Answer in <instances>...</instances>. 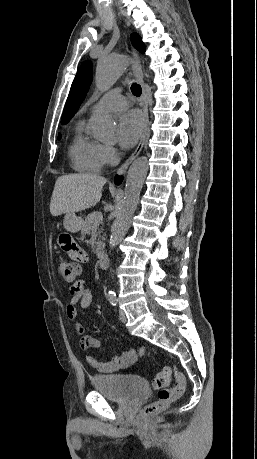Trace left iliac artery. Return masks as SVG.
<instances>
[{"label": "left iliac artery", "instance_id": "left-iliac-artery-1", "mask_svg": "<svg viewBox=\"0 0 257 459\" xmlns=\"http://www.w3.org/2000/svg\"><path fill=\"white\" fill-rule=\"evenodd\" d=\"M108 300L109 302L113 305V306H116L117 304V297H116V294L115 293H111L108 295Z\"/></svg>", "mask_w": 257, "mask_h": 459}]
</instances>
